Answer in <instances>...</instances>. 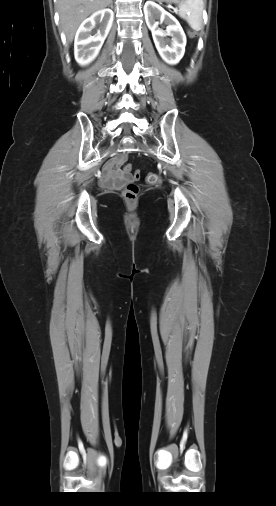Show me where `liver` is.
Masks as SVG:
<instances>
[{"label": "liver", "instance_id": "liver-1", "mask_svg": "<svg viewBox=\"0 0 276 506\" xmlns=\"http://www.w3.org/2000/svg\"><path fill=\"white\" fill-rule=\"evenodd\" d=\"M112 3V0H58L60 24L71 42L80 23L89 15L104 9Z\"/></svg>", "mask_w": 276, "mask_h": 506}]
</instances>
